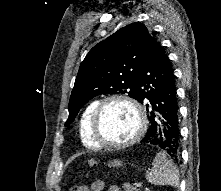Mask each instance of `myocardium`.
Instances as JSON below:
<instances>
[{"mask_svg":"<svg viewBox=\"0 0 221 191\" xmlns=\"http://www.w3.org/2000/svg\"><path fill=\"white\" fill-rule=\"evenodd\" d=\"M114 101H121V102L128 104L130 107L133 108L138 119V126L134 135L128 140L124 142H120V143H112V142L106 141L101 131V118H102L104 109L109 103L114 102ZM145 127H146V117L139 102L127 95L113 94L104 98L98 103L94 111L92 121H91V136L93 140L100 147H106V148H112V149H123L138 142L145 131Z\"/></svg>","mask_w":221,"mask_h":191,"instance_id":"1","label":"myocardium"}]
</instances>
